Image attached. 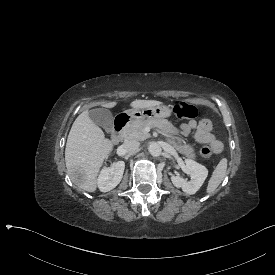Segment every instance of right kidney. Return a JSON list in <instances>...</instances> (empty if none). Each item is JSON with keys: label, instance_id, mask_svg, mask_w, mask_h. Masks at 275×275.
<instances>
[{"label": "right kidney", "instance_id": "1", "mask_svg": "<svg viewBox=\"0 0 275 275\" xmlns=\"http://www.w3.org/2000/svg\"><path fill=\"white\" fill-rule=\"evenodd\" d=\"M125 170L123 161L115 162L105 169L98 179V185L102 192L113 190L122 180Z\"/></svg>", "mask_w": 275, "mask_h": 275}]
</instances>
